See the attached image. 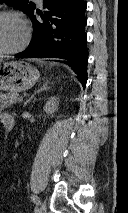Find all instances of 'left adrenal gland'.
Here are the masks:
<instances>
[{"label": "left adrenal gland", "instance_id": "left-adrenal-gland-1", "mask_svg": "<svg viewBox=\"0 0 128 213\" xmlns=\"http://www.w3.org/2000/svg\"><path fill=\"white\" fill-rule=\"evenodd\" d=\"M48 84H49V82L44 83V84L40 87V89H38L37 91H35L34 94L31 95V97H29V99L24 103L23 106L25 107V106L35 97L36 94H38V93H40V92H42V91H44V90L50 89V87L48 86Z\"/></svg>", "mask_w": 128, "mask_h": 213}]
</instances>
